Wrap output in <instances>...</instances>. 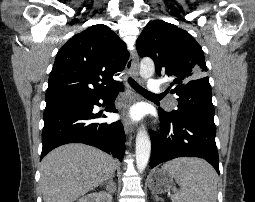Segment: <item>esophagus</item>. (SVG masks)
Segmentation results:
<instances>
[{"label": "esophagus", "instance_id": "34e87169", "mask_svg": "<svg viewBox=\"0 0 255 202\" xmlns=\"http://www.w3.org/2000/svg\"><path fill=\"white\" fill-rule=\"evenodd\" d=\"M138 66H139V62H138V55L136 50H133L131 53V56L126 64V68L128 73L133 77V78H137L138 75ZM134 101V99H131L126 107H125V111L123 113V126L126 132L131 133L135 131V124L129 119L128 117V108L131 104V102Z\"/></svg>", "mask_w": 255, "mask_h": 202}]
</instances>
